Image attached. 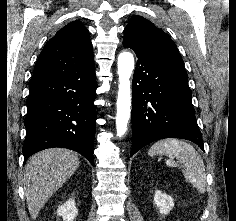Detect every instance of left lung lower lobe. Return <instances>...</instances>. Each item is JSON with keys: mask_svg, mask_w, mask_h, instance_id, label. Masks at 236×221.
I'll list each match as a JSON object with an SVG mask.
<instances>
[{"mask_svg": "<svg viewBox=\"0 0 236 221\" xmlns=\"http://www.w3.org/2000/svg\"><path fill=\"white\" fill-rule=\"evenodd\" d=\"M123 46L133 49L138 57L132 84L131 156L163 138L187 139L204 150L185 68L129 40H123Z\"/></svg>", "mask_w": 236, "mask_h": 221, "instance_id": "left-lung-lower-lobe-1", "label": "left lung lower lobe"}]
</instances>
